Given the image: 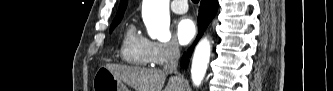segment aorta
I'll list each match as a JSON object with an SVG mask.
<instances>
[{"label": "aorta", "mask_w": 333, "mask_h": 91, "mask_svg": "<svg viewBox=\"0 0 333 91\" xmlns=\"http://www.w3.org/2000/svg\"><path fill=\"white\" fill-rule=\"evenodd\" d=\"M142 15L152 39H158L161 42L170 39L169 0H143ZM210 53V41L204 38L197 45L192 61L191 76L195 86H199L205 76Z\"/></svg>", "instance_id": "obj_1"}]
</instances>
